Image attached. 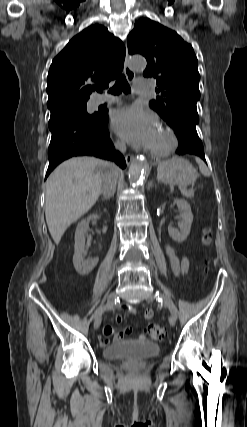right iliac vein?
I'll return each instance as SVG.
<instances>
[{"label":"right iliac vein","mask_w":247,"mask_h":427,"mask_svg":"<svg viewBox=\"0 0 247 427\" xmlns=\"http://www.w3.org/2000/svg\"><path fill=\"white\" fill-rule=\"evenodd\" d=\"M117 294L115 292H111L108 296L107 299V304H112L114 302V300L116 299ZM101 319H102V313H98L94 319V328L98 329L100 324H101Z\"/></svg>","instance_id":"right-iliac-vein-1"}]
</instances>
